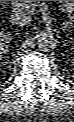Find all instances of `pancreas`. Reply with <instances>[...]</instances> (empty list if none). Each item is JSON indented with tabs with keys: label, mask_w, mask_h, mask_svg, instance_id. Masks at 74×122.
Masks as SVG:
<instances>
[{
	"label": "pancreas",
	"mask_w": 74,
	"mask_h": 122,
	"mask_svg": "<svg viewBox=\"0 0 74 122\" xmlns=\"http://www.w3.org/2000/svg\"><path fill=\"white\" fill-rule=\"evenodd\" d=\"M14 3L22 9H27L30 7H33L35 4V1H14Z\"/></svg>",
	"instance_id": "pancreas-1"
}]
</instances>
